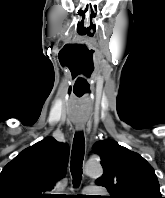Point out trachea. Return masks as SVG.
<instances>
[{
  "instance_id": "3493384b",
  "label": "trachea",
  "mask_w": 165,
  "mask_h": 198,
  "mask_svg": "<svg viewBox=\"0 0 165 198\" xmlns=\"http://www.w3.org/2000/svg\"><path fill=\"white\" fill-rule=\"evenodd\" d=\"M85 153V139L82 132L76 133L73 140L70 170L74 187H78L82 176V164Z\"/></svg>"
}]
</instances>
